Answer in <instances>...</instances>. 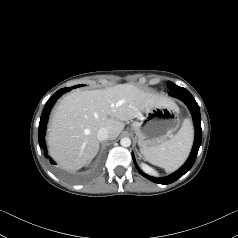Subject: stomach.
Listing matches in <instances>:
<instances>
[{
  "label": "stomach",
  "instance_id": "0dacf381",
  "mask_svg": "<svg viewBox=\"0 0 238 238\" xmlns=\"http://www.w3.org/2000/svg\"><path fill=\"white\" fill-rule=\"evenodd\" d=\"M143 113L142 117L132 123L142 151L167 141L180 125L179 109L176 105L156 106Z\"/></svg>",
  "mask_w": 238,
  "mask_h": 238
}]
</instances>
